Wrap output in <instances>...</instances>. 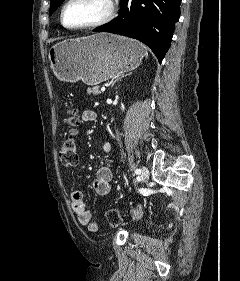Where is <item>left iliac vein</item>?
<instances>
[{"label":"left iliac vein","instance_id":"left-iliac-vein-1","mask_svg":"<svg viewBox=\"0 0 240 281\" xmlns=\"http://www.w3.org/2000/svg\"><path fill=\"white\" fill-rule=\"evenodd\" d=\"M140 170H141V179L143 181H147L148 178H149V170H148V168H146L145 166H142Z\"/></svg>","mask_w":240,"mask_h":281}]
</instances>
